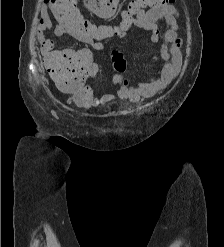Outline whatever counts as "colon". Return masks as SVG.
I'll use <instances>...</instances> for the list:
<instances>
[{
    "instance_id": "obj_1",
    "label": "colon",
    "mask_w": 224,
    "mask_h": 247,
    "mask_svg": "<svg viewBox=\"0 0 224 247\" xmlns=\"http://www.w3.org/2000/svg\"><path fill=\"white\" fill-rule=\"evenodd\" d=\"M175 0H131L123 12L122 21L117 25H99L86 19L80 12L77 0H55L63 21L73 27L77 33L90 39L105 40L126 35L132 18L145 9L160 8L173 5ZM114 70L122 73L126 62L122 54L114 51L111 55ZM47 70L63 90L74 93L75 101L82 106H90L95 102L91 89L86 85L88 79L96 75L97 68L91 61L88 51L71 56H51L46 61Z\"/></svg>"
}]
</instances>
